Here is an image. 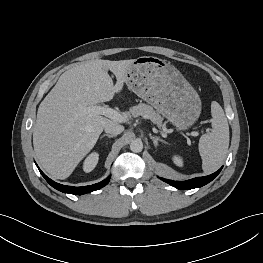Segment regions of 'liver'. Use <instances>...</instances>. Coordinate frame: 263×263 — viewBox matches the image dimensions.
I'll return each instance as SVG.
<instances>
[{"instance_id":"6515ba94","label":"liver","mask_w":263,"mask_h":263,"mask_svg":"<svg viewBox=\"0 0 263 263\" xmlns=\"http://www.w3.org/2000/svg\"><path fill=\"white\" fill-rule=\"evenodd\" d=\"M134 59H96L64 72L38 108L33 145L42 167L56 179L68 178L96 144L104 127L117 123L83 109L113 99ZM113 72L116 83L108 74Z\"/></svg>"}]
</instances>
